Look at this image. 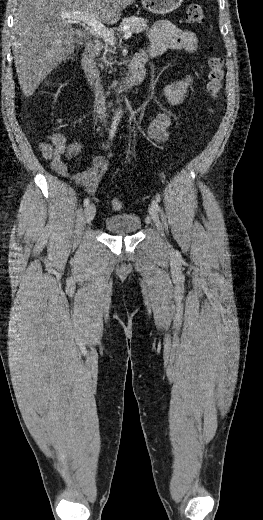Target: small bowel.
Listing matches in <instances>:
<instances>
[{
  "label": "small bowel",
  "instance_id": "obj_1",
  "mask_svg": "<svg viewBox=\"0 0 263 520\" xmlns=\"http://www.w3.org/2000/svg\"><path fill=\"white\" fill-rule=\"evenodd\" d=\"M148 37L149 44L143 51L148 56H158L167 50H185L190 53L197 50V38L193 32L179 29L166 20L155 23ZM190 84V78L173 82L165 87L163 95L171 103L177 104L184 98ZM171 125L172 118L168 114L160 113L144 128V133L154 142L162 143L168 138ZM52 144L54 157L51 166L58 174L67 176V167L63 159L75 156L80 150V143L77 141L67 143L64 135L55 133ZM108 146V143H103L104 149ZM108 164V156L96 157L87 169L72 175L71 179L77 185L84 187L87 193L93 194L106 173Z\"/></svg>",
  "mask_w": 263,
  "mask_h": 520
}]
</instances>
